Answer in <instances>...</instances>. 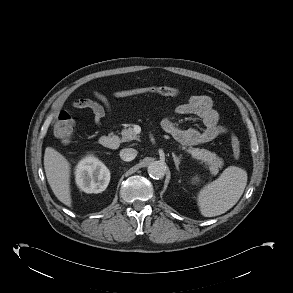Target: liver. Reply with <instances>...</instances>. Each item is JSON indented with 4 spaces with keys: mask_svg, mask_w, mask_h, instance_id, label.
<instances>
[{
    "mask_svg": "<svg viewBox=\"0 0 293 293\" xmlns=\"http://www.w3.org/2000/svg\"><path fill=\"white\" fill-rule=\"evenodd\" d=\"M44 168L47 181L57 199L68 207H72L70 189V163L57 150L46 147Z\"/></svg>",
    "mask_w": 293,
    "mask_h": 293,
    "instance_id": "6515ba94",
    "label": "liver"
}]
</instances>
